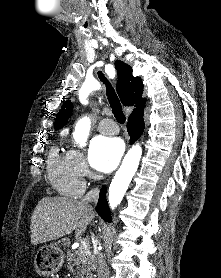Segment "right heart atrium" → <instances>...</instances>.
<instances>
[{
	"mask_svg": "<svg viewBox=\"0 0 221 278\" xmlns=\"http://www.w3.org/2000/svg\"><path fill=\"white\" fill-rule=\"evenodd\" d=\"M69 157L78 175L84 179L91 175L89 165L82 151L72 148L68 151Z\"/></svg>",
	"mask_w": 221,
	"mask_h": 278,
	"instance_id": "right-heart-atrium-1",
	"label": "right heart atrium"
}]
</instances>
